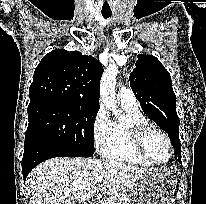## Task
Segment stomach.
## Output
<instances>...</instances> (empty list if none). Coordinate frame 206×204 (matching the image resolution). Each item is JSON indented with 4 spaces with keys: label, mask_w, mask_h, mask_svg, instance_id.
Instances as JSON below:
<instances>
[{
    "label": "stomach",
    "mask_w": 206,
    "mask_h": 204,
    "mask_svg": "<svg viewBox=\"0 0 206 204\" xmlns=\"http://www.w3.org/2000/svg\"><path fill=\"white\" fill-rule=\"evenodd\" d=\"M177 179L169 168L150 169L125 190L127 204H172Z\"/></svg>",
    "instance_id": "1"
}]
</instances>
